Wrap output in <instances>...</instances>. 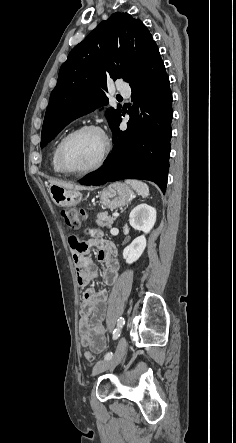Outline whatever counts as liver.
<instances>
[{"label": "liver", "instance_id": "liver-1", "mask_svg": "<svg viewBox=\"0 0 236 443\" xmlns=\"http://www.w3.org/2000/svg\"><path fill=\"white\" fill-rule=\"evenodd\" d=\"M50 183H51V185H58V186L65 187L68 189H76L77 190L80 188L78 186L74 187L72 184H68L65 182L57 181V180H51Z\"/></svg>", "mask_w": 236, "mask_h": 443}]
</instances>
